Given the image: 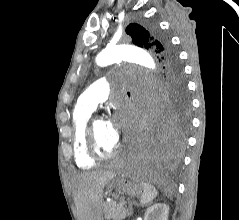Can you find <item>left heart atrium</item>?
<instances>
[{
  "instance_id": "39dd6f15",
  "label": "left heart atrium",
  "mask_w": 239,
  "mask_h": 220,
  "mask_svg": "<svg viewBox=\"0 0 239 220\" xmlns=\"http://www.w3.org/2000/svg\"><path fill=\"white\" fill-rule=\"evenodd\" d=\"M132 109L128 104L118 110L116 114L108 121L110 133L119 140V131L121 129L128 130L131 127L133 119L128 116Z\"/></svg>"
}]
</instances>
